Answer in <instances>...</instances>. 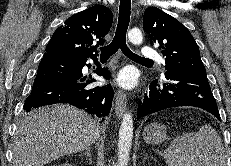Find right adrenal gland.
<instances>
[{
    "mask_svg": "<svg viewBox=\"0 0 231 166\" xmlns=\"http://www.w3.org/2000/svg\"><path fill=\"white\" fill-rule=\"evenodd\" d=\"M83 155L89 158L90 163H92V157L90 153V148H87L85 152H83Z\"/></svg>",
    "mask_w": 231,
    "mask_h": 166,
    "instance_id": "right-adrenal-gland-1",
    "label": "right adrenal gland"
}]
</instances>
